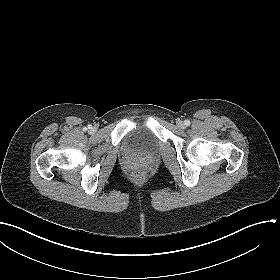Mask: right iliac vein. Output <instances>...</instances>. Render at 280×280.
Returning a JSON list of instances; mask_svg holds the SVG:
<instances>
[{"label":"right iliac vein","instance_id":"obj_1","mask_svg":"<svg viewBox=\"0 0 280 280\" xmlns=\"http://www.w3.org/2000/svg\"><path fill=\"white\" fill-rule=\"evenodd\" d=\"M90 132H91V133H95V132H96V128H95V127H91V128H90Z\"/></svg>","mask_w":280,"mask_h":280}]
</instances>
